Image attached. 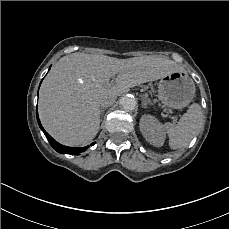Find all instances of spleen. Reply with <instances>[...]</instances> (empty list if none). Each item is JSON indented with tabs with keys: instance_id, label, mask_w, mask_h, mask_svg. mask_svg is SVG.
Listing matches in <instances>:
<instances>
[{
	"instance_id": "spleen-1",
	"label": "spleen",
	"mask_w": 229,
	"mask_h": 229,
	"mask_svg": "<svg viewBox=\"0 0 229 229\" xmlns=\"http://www.w3.org/2000/svg\"><path fill=\"white\" fill-rule=\"evenodd\" d=\"M203 125V116L199 104H192L177 124L165 123L171 149L187 147L196 132Z\"/></svg>"
}]
</instances>
